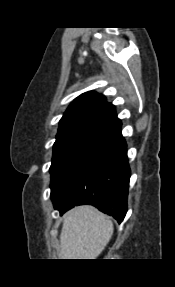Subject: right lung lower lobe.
I'll use <instances>...</instances> for the list:
<instances>
[{
  "instance_id": "98d812e1",
  "label": "right lung lower lobe",
  "mask_w": 175,
  "mask_h": 287,
  "mask_svg": "<svg viewBox=\"0 0 175 287\" xmlns=\"http://www.w3.org/2000/svg\"><path fill=\"white\" fill-rule=\"evenodd\" d=\"M130 167L121 125L82 158L51 191L60 214L91 204L119 223L127 212Z\"/></svg>"
}]
</instances>
